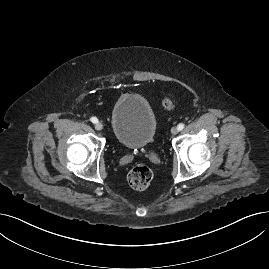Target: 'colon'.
Here are the masks:
<instances>
[{"instance_id":"colon-1","label":"colon","mask_w":269,"mask_h":269,"mask_svg":"<svg viewBox=\"0 0 269 269\" xmlns=\"http://www.w3.org/2000/svg\"><path fill=\"white\" fill-rule=\"evenodd\" d=\"M163 108L173 110L175 103L169 95L164 94L161 99ZM153 179L152 169L145 165L139 164L133 167L128 174V182L130 186L136 190L146 189Z\"/></svg>"}]
</instances>
